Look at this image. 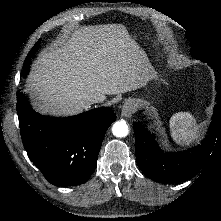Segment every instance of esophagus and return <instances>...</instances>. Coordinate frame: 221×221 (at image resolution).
I'll use <instances>...</instances> for the list:
<instances>
[{
	"instance_id": "34e87169",
	"label": "esophagus",
	"mask_w": 221,
	"mask_h": 221,
	"mask_svg": "<svg viewBox=\"0 0 221 221\" xmlns=\"http://www.w3.org/2000/svg\"><path fill=\"white\" fill-rule=\"evenodd\" d=\"M136 111V105L135 102L131 99L126 100L122 106L121 109V115L123 117L129 118L134 114Z\"/></svg>"
}]
</instances>
